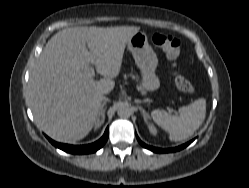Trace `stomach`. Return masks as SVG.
<instances>
[{"label": "stomach", "instance_id": "stomach-1", "mask_svg": "<svg viewBox=\"0 0 249 188\" xmlns=\"http://www.w3.org/2000/svg\"><path fill=\"white\" fill-rule=\"evenodd\" d=\"M136 65L141 71L142 87L147 91L159 88L160 81L156 75L157 55L148 42L144 32H137L127 43Z\"/></svg>", "mask_w": 249, "mask_h": 188}]
</instances>
